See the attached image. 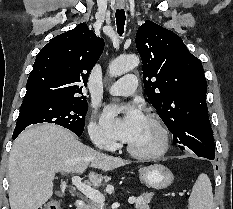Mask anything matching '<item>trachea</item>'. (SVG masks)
<instances>
[{
    "instance_id": "obj_1",
    "label": "trachea",
    "mask_w": 233,
    "mask_h": 209,
    "mask_svg": "<svg viewBox=\"0 0 233 209\" xmlns=\"http://www.w3.org/2000/svg\"><path fill=\"white\" fill-rule=\"evenodd\" d=\"M116 24H117V32L120 36L124 33V25H125V11L123 9H117L115 13Z\"/></svg>"
}]
</instances>
